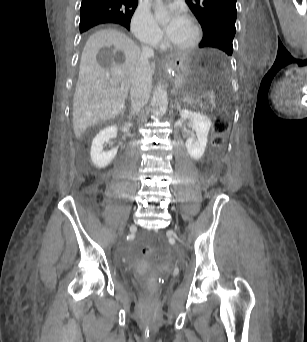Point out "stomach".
<instances>
[{"instance_id": "1", "label": "stomach", "mask_w": 307, "mask_h": 342, "mask_svg": "<svg viewBox=\"0 0 307 342\" xmlns=\"http://www.w3.org/2000/svg\"><path fill=\"white\" fill-rule=\"evenodd\" d=\"M197 61L190 56H178L172 59L165 70L173 78L178 94L190 99L195 96L193 75Z\"/></svg>"}]
</instances>
